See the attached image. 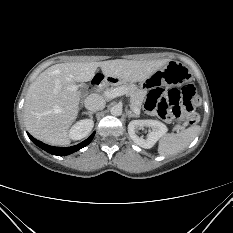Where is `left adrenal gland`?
Returning a JSON list of instances; mask_svg holds the SVG:
<instances>
[{
	"label": "left adrenal gland",
	"instance_id": "obj_1",
	"mask_svg": "<svg viewBox=\"0 0 233 233\" xmlns=\"http://www.w3.org/2000/svg\"><path fill=\"white\" fill-rule=\"evenodd\" d=\"M127 115H128V118H131V117L137 118V117H138V115L132 113V112L129 111V110L127 111Z\"/></svg>",
	"mask_w": 233,
	"mask_h": 233
}]
</instances>
